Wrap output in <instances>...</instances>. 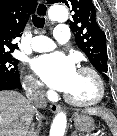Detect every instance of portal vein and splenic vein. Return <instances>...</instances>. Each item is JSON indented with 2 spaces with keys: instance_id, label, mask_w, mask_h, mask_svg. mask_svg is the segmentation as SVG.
<instances>
[{
  "instance_id": "obj_1",
  "label": "portal vein and splenic vein",
  "mask_w": 117,
  "mask_h": 136,
  "mask_svg": "<svg viewBox=\"0 0 117 136\" xmlns=\"http://www.w3.org/2000/svg\"><path fill=\"white\" fill-rule=\"evenodd\" d=\"M91 136H100V132L98 131V132H95V133H93Z\"/></svg>"
}]
</instances>
